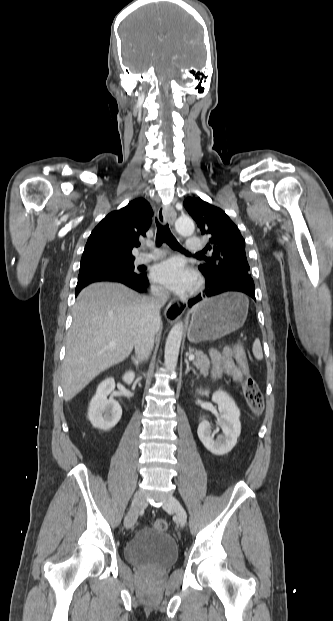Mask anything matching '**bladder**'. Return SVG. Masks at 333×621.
I'll use <instances>...</instances> for the list:
<instances>
[{
	"label": "bladder",
	"instance_id": "bladder-1",
	"mask_svg": "<svg viewBox=\"0 0 333 621\" xmlns=\"http://www.w3.org/2000/svg\"><path fill=\"white\" fill-rule=\"evenodd\" d=\"M124 555L136 566L168 567L178 555L173 537L166 531L145 527L125 546Z\"/></svg>",
	"mask_w": 333,
	"mask_h": 621
}]
</instances>
